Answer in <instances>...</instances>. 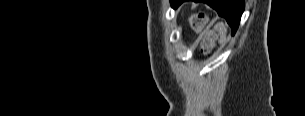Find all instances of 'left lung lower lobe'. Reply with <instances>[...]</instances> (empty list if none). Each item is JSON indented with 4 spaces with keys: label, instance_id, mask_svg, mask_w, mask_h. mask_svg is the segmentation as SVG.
Listing matches in <instances>:
<instances>
[{
    "label": "left lung lower lobe",
    "instance_id": "obj_1",
    "mask_svg": "<svg viewBox=\"0 0 305 116\" xmlns=\"http://www.w3.org/2000/svg\"><path fill=\"white\" fill-rule=\"evenodd\" d=\"M184 0H172L175 6H178ZM195 2H205L214 8L219 16L226 19L228 24L231 26L232 34H235L238 29L241 15L244 11V0H205Z\"/></svg>",
    "mask_w": 305,
    "mask_h": 116
}]
</instances>
